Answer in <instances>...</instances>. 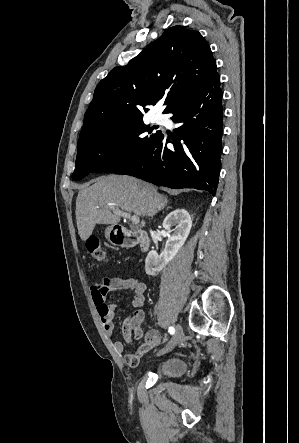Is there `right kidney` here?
Here are the masks:
<instances>
[{"label":"right kidney","instance_id":"obj_1","mask_svg":"<svg viewBox=\"0 0 299 443\" xmlns=\"http://www.w3.org/2000/svg\"><path fill=\"white\" fill-rule=\"evenodd\" d=\"M173 226L175 229L171 230ZM163 227L169 233L165 244V249L159 256L156 250H151L145 260V271L148 275H157L178 253L184 245L191 227L192 220L190 214L185 209H177L169 213L163 221Z\"/></svg>","mask_w":299,"mask_h":443}]
</instances>
